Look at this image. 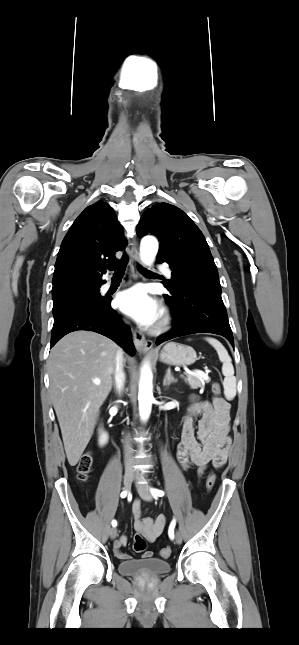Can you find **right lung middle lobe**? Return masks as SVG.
I'll return each instance as SVG.
<instances>
[{"label": "right lung middle lobe", "mask_w": 299, "mask_h": 645, "mask_svg": "<svg viewBox=\"0 0 299 645\" xmlns=\"http://www.w3.org/2000/svg\"><path fill=\"white\" fill-rule=\"evenodd\" d=\"M101 285L77 283L52 291L54 322L76 309L103 303Z\"/></svg>", "instance_id": "right-lung-middle-lobe-1"}]
</instances>
